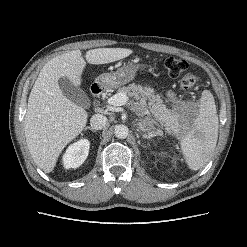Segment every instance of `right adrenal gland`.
Wrapping results in <instances>:
<instances>
[{
    "label": "right adrenal gland",
    "instance_id": "right-adrenal-gland-1",
    "mask_svg": "<svg viewBox=\"0 0 247 247\" xmlns=\"http://www.w3.org/2000/svg\"><path fill=\"white\" fill-rule=\"evenodd\" d=\"M88 129L93 131V132H96V130L94 128H92V127L87 126V127L84 128V130H88Z\"/></svg>",
    "mask_w": 247,
    "mask_h": 247
}]
</instances>
